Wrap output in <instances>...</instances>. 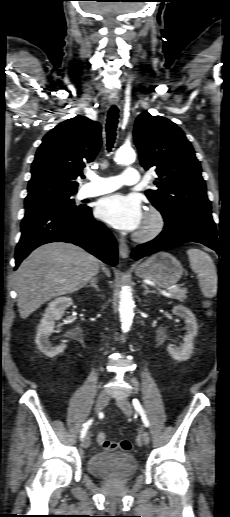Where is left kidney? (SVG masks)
I'll return each instance as SVG.
<instances>
[{
    "mask_svg": "<svg viewBox=\"0 0 230 517\" xmlns=\"http://www.w3.org/2000/svg\"><path fill=\"white\" fill-rule=\"evenodd\" d=\"M172 313L185 320V329L187 330L184 336V343L181 348L167 347L169 354L178 361H186L190 358L194 349L193 340L198 332L197 322L195 315L186 307L182 305L175 306L172 309Z\"/></svg>",
    "mask_w": 230,
    "mask_h": 517,
    "instance_id": "1",
    "label": "left kidney"
}]
</instances>
